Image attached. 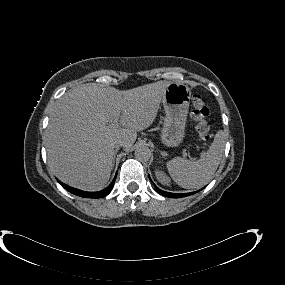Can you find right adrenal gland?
Listing matches in <instances>:
<instances>
[{"label": "right adrenal gland", "instance_id": "2a0ac1e0", "mask_svg": "<svg viewBox=\"0 0 285 285\" xmlns=\"http://www.w3.org/2000/svg\"><path fill=\"white\" fill-rule=\"evenodd\" d=\"M118 150H119V148L115 149V151H114L113 164H112V166H114V162H115V158H116V155H117Z\"/></svg>", "mask_w": 285, "mask_h": 285}]
</instances>
